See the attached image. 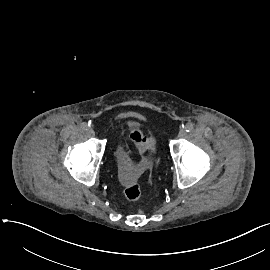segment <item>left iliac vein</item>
<instances>
[{"label": "left iliac vein", "instance_id": "obj_1", "mask_svg": "<svg viewBox=\"0 0 270 270\" xmlns=\"http://www.w3.org/2000/svg\"><path fill=\"white\" fill-rule=\"evenodd\" d=\"M186 134L187 133H186L185 129H181L179 131L178 138H184L186 136Z\"/></svg>", "mask_w": 270, "mask_h": 270}]
</instances>
